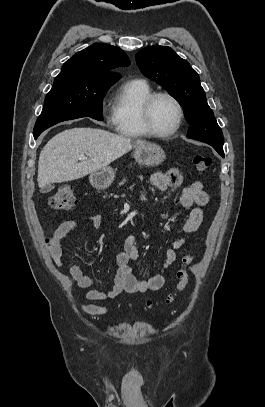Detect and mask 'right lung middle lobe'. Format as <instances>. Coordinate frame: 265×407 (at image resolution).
Here are the masks:
<instances>
[{
  "mask_svg": "<svg viewBox=\"0 0 265 407\" xmlns=\"http://www.w3.org/2000/svg\"><path fill=\"white\" fill-rule=\"evenodd\" d=\"M114 83L79 82L70 77L57 76L47 94L42 113L36 121L33 135L66 120L91 117L103 120L102 101Z\"/></svg>",
  "mask_w": 265,
  "mask_h": 407,
  "instance_id": "1",
  "label": "right lung middle lobe"
}]
</instances>
